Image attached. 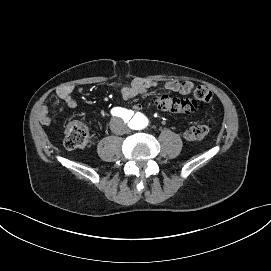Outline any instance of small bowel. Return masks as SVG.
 <instances>
[{"instance_id":"1","label":"small bowel","mask_w":271,"mask_h":271,"mask_svg":"<svg viewBox=\"0 0 271 271\" xmlns=\"http://www.w3.org/2000/svg\"><path fill=\"white\" fill-rule=\"evenodd\" d=\"M158 83L152 80L146 79H134L128 85H125L121 89V94L123 99L130 100L145 91L149 88L157 86ZM163 87L168 91L179 93L182 95H188L195 91L197 86L192 81H177V80H168L162 83ZM75 91L74 86H62L56 90V94L61 101L62 106L68 108H75L77 106V101L74 98L73 94ZM135 110H140L141 105L135 104ZM39 121L44 125H49L56 123V120L52 118L49 114V110L46 106H42L38 113Z\"/></svg>"}]
</instances>
